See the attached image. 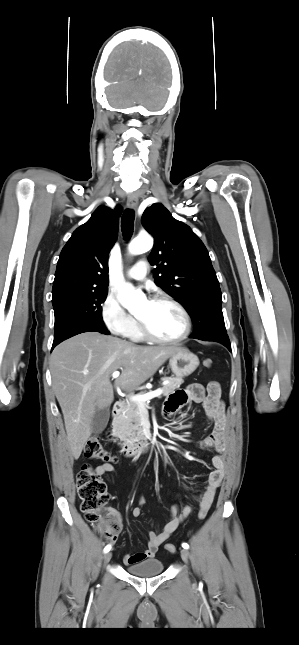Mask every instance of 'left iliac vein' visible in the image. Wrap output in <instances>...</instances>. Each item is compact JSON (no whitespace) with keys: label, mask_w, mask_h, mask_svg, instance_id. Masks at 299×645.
I'll return each mask as SVG.
<instances>
[{"label":"left iliac vein","mask_w":299,"mask_h":645,"mask_svg":"<svg viewBox=\"0 0 299 645\" xmlns=\"http://www.w3.org/2000/svg\"><path fill=\"white\" fill-rule=\"evenodd\" d=\"M180 553H181V558L183 559V561L187 563L188 560H189V552H188V550L187 549H182Z\"/></svg>","instance_id":"left-iliac-vein-1"}]
</instances>
